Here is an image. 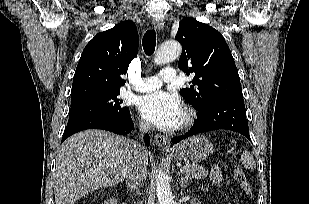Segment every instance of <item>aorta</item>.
Listing matches in <instances>:
<instances>
[{"label":"aorta","mask_w":309,"mask_h":204,"mask_svg":"<svg viewBox=\"0 0 309 204\" xmlns=\"http://www.w3.org/2000/svg\"><path fill=\"white\" fill-rule=\"evenodd\" d=\"M182 47L177 41L164 42L154 57V63L162 65L175 60L180 56ZM156 192L159 204H173L168 176L164 172L156 175Z\"/></svg>","instance_id":"762f6f07"}]
</instances>
